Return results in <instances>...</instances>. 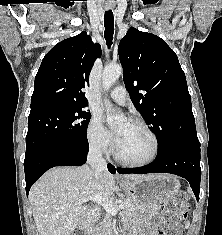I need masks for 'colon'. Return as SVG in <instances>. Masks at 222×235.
<instances>
[{"instance_id": "5ec220e1", "label": "colon", "mask_w": 222, "mask_h": 235, "mask_svg": "<svg viewBox=\"0 0 222 235\" xmlns=\"http://www.w3.org/2000/svg\"><path fill=\"white\" fill-rule=\"evenodd\" d=\"M189 205L184 195L178 194L166 202L163 207V215L167 230L161 232L163 235H176L177 227L173 224L175 220L186 217ZM73 235H80L75 233Z\"/></svg>"}]
</instances>
